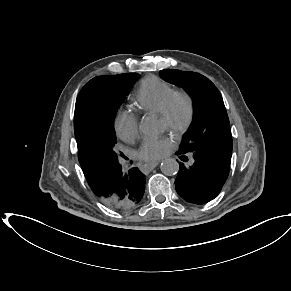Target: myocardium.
<instances>
[{
	"instance_id": "obj_1",
	"label": "myocardium",
	"mask_w": 291,
	"mask_h": 291,
	"mask_svg": "<svg viewBox=\"0 0 291 291\" xmlns=\"http://www.w3.org/2000/svg\"><path fill=\"white\" fill-rule=\"evenodd\" d=\"M159 116L170 132L177 137L183 136L190 130L195 119L192 96L184 90H175Z\"/></svg>"
}]
</instances>
